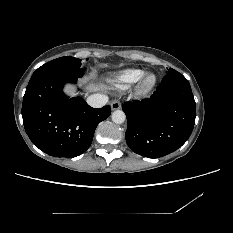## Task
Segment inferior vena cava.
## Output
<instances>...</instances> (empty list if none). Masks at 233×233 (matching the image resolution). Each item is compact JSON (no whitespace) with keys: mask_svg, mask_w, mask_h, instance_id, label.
Listing matches in <instances>:
<instances>
[{"mask_svg":"<svg viewBox=\"0 0 233 233\" xmlns=\"http://www.w3.org/2000/svg\"><path fill=\"white\" fill-rule=\"evenodd\" d=\"M108 102V97L103 94H93L87 98V103L94 108H101Z\"/></svg>","mask_w":233,"mask_h":233,"instance_id":"obj_1","label":"inferior vena cava"}]
</instances>
